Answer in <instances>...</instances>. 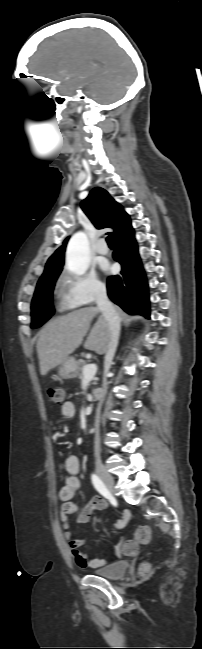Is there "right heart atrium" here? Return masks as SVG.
<instances>
[{"label": "right heart atrium", "mask_w": 202, "mask_h": 649, "mask_svg": "<svg viewBox=\"0 0 202 649\" xmlns=\"http://www.w3.org/2000/svg\"><path fill=\"white\" fill-rule=\"evenodd\" d=\"M105 289L94 273L64 271L60 276L59 307L73 309L90 305L104 295Z\"/></svg>", "instance_id": "1"}]
</instances>
